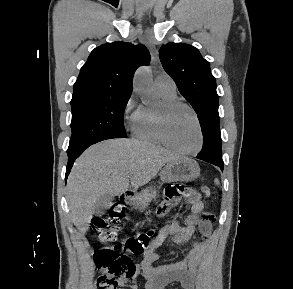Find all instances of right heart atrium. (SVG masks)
<instances>
[{
	"label": "right heart atrium",
	"instance_id": "1",
	"mask_svg": "<svg viewBox=\"0 0 293 289\" xmlns=\"http://www.w3.org/2000/svg\"><path fill=\"white\" fill-rule=\"evenodd\" d=\"M141 106L138 105V100L135 93H132L127 99L124 106V115L130 117L132 120L131 125L133 126L134 120L139 113Z\"/></svg>",
	"mask_w": 293,
	"mask_h": 289
}]
</instances>
